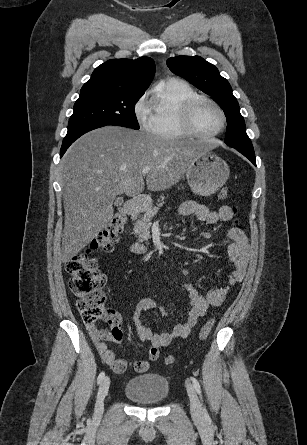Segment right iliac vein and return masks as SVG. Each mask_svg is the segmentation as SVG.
Here are the masks:
<instances>
[{
    "mask_svg": "<svg viewBox=\"0 0 307 445\" xmlns=\"http://www.w3.org/2000/svg\"><path fill=\"white\" fill-rule=\"evenodd\" d=\"M110 379L106 377L100 384L95 405V418L99 419L104 411V399L108 393Z\"/></svg>",
    "mask_w": 307,
    "mask_h": 445,
    "instance_id": "63e3f726",
    "label": "right iliac vein"
}]
</instances>
